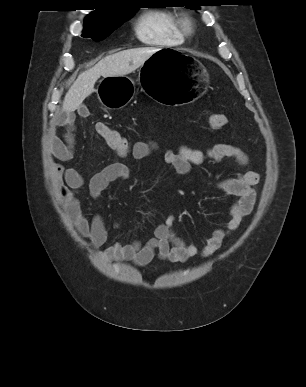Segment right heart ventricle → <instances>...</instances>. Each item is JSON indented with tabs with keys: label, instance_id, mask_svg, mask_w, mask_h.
<instances>
[{
	"label": "right heart ventricle",
	"instance_id": "obj_1",
	"mask_svg": "<svg viewBox=\"0 0 306 387\" xmlns=\"http://www.w3.org/2000/svg\"><path fill=\"white\" fill-rule=\"evenodd\" d=\"M179 15L168 9H150L143 12L134 24L136 37L142 43L156 47H173L184 43Z\"/></svg>",
	"mask_w": 306,
	"mask_h": 387
}]
</instances>
